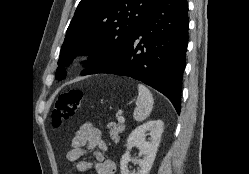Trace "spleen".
Here are the masks:
<instances>
[{"label":"spleen","instance_id":"obj_1","mask_svg":"<svg viewBox=\"0 0 249 174\" xmlns=\"http://www.w3.org/2000/svg\"><path fill=\"white\" fill-rule=\"evenodd\" d=\"M154 100L151 92L144 85H138V97L134 110V119L138 122L145 120L151 113Z\"/></svg>","mask_w":249,"mask_h":174}]
</instances>
